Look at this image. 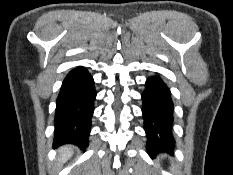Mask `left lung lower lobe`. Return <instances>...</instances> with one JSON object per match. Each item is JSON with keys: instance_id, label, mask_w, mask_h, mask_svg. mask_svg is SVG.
<instances>
[{"instance_id": "left-lung-lower-lobe-1", "label": "left lung lower lobe", "mask_w": 233, "mask_h": 175, "mask_svg": "<svg viewBox=\"0 0 233 175\" xmlns=\"http://www.w3.org/2000/svg\"><path fill=\"white\" fill-rule=\"evenodd\" d=\"M142 102L148 153L152 156L160 150L170 151L175 145L172 135L173 102L169 88L159 75L146 80Z\"/></svg>"}]
</instances>
